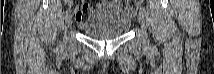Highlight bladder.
I'll use <instances>...</instances> for the list:
<instances>
[{"label": "bladder", "instance_id": "31cf9c89", "mask_svg": "<svg viewBox=\"0 0 214 74\" xmlns=\"http://www.w3.org/2000/svg\"><path fill=\"white\" fill-rule=\"evenodd\" d=\"M131 23L132 16L123 6L108 7L97 10L81 29L92 38H115L124 35Z\"/></svg>", "mask_w": 214, "mask_h": 74}]
</instances>
